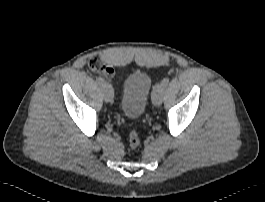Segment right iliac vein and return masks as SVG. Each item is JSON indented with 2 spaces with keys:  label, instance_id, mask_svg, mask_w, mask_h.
I'll return each instance as SVG.
<instances>
[{
  "label": "right iliac vein",
  "instance_id": "right-iliac-vein-1",
  "mask_svg": "<svg viewBox=\"0 0 265 202\" xmlns=\"http://www.w3.org/2000/svg\"><path fill=\"white\" fill-rule=\"evenodd\" d=\"M102 93H103V98L106 102L111 103L113 101L114 91L110 84L105 83L102 86Z\"/></svg>",
  "mask_w": 265,
  "mask_h": 202
}]
</instances>
